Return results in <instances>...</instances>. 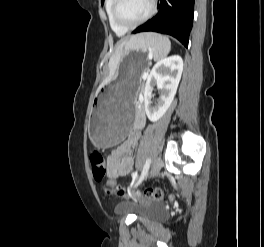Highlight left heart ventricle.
<instances>
[{
	"label": "left heart ventricle",
	"instance_id": "left-heart-ventricle-1",
	"mask_svg": "<svg viewBox=\"0 0 264 247\" xmlns=\"http://www.w3.org/2000/svg\"><path fill=\"white\" fill-rule=\"evenodd\" d=\"M150 8V0H122L120 6L121 18L134 23L143 18Z\"/></svg>",
	"mask_w": 264,
	"mask_h": 247
}]
</instances>
